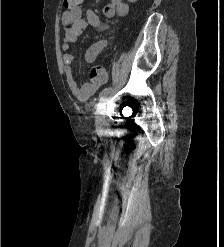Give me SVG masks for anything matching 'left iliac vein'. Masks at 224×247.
Returning a JSON list of instances; mask_svg holds the SVG:
<instances>
[{
    "mask_svg": "<svg viewBox=\"0 0 224 247\" xmlns=\"http://www.w3.org/2000/svg\"><path fill=\"white\" fill-rule=\"evenodd\" d=\"M109 94V93H108ZM108 94L104 95L98 104L97 116H96V129L102 131L105 127V110L108 102Z\"/></svg>",
    "mask_w": 224,
    "mask_h": 247,
    "instance_id": "left-iliac-vein-1",
    "label": "left iliac vein"
}]
</instances>
